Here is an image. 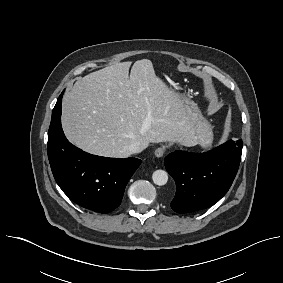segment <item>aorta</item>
Segmentation results:
<instances>
[{
    "label": "aorta",
    "mask_w": 283,
    "mask_h": 283,
    "mask_svg": "<svg viewBox=\"0 0 283 283\" xmlns=\"http://www.w3.org/2000/svg\"><path fill=\"white\" fill-rule=\"evenodd\" d=\"M152 179L156 185L163 186L168 181V174L166 171L159 169L153 172Z\"/></svg>",
    "instance_id": "1"
}]
</instances>
